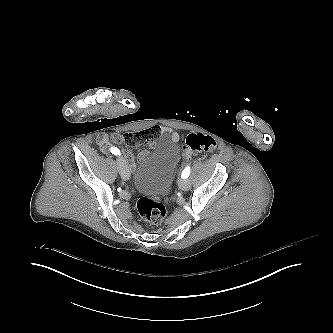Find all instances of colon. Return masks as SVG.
Here are the masks:
<instances>
[{
    "instance_id": "colon-1",
    "label": "colon",
    "mask_w": 333,
    "mask_h": 333,
    "mask_svg": "<svg viewBox=\"0 0 333 333\" xmlns=\"http://www.w3.org/2000/svg\"><path fill=\"white\" fill-rule=\"evenodd\" d=\"M163 132L158 127H150L138 132L125 133L122 142L129 148L136 149L155 145L162 139ZM200 144L203 149L210 148L211 142L204 138ZM136 207L142 220L143 227L148 231H157L163 225L166 207L159 193L144 189L143 195L137 200Z\"/></svg>"
}]
</instances>
